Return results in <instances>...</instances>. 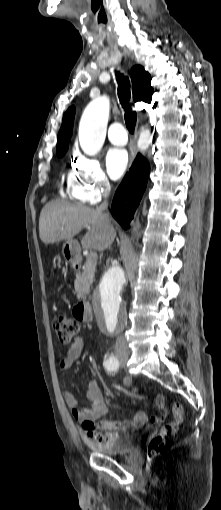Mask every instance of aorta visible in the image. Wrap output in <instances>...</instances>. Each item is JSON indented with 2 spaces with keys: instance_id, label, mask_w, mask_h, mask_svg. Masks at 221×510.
Segmentation results:
<instances>
[{
  "instance_id": "1",
  "label": "aorta",
  "mask_w": 221,
  "mask_h": 510,
  "mask_svg": "<svg viewBox=\"0 0 221 510\" xmlns=\"http://www.w3.org/2000/svg\"><path fill=\"white\" fill-rule=\"evenodd\" d=\"M109 100L99 97L85 108L79 124V143L87 155H96L102 148L109 119ZM141 147L148 146V135L142 133ZM126 286V277L120 265L110 267L94 292L95 312L102 327L109 333L118 331L125 322V306L122 292Z\"/></svg>"
}]
</instances>
